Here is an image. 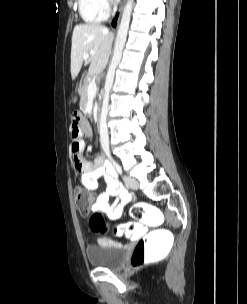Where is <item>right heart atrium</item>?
Here are the masks:
<instances>
[{
    "label": "right heart atrium",
    "instance_id": "right-heart-atrium-1",
    "mask_svg": "<svg viewBox=\"0 0 247 304\" xmlns=\"http://www.w3.org/2000/svg\"><path fill=\"white\" fill-rule=\"evenodd\" d=\"M102 1H103L104 5L107 7L109 4V0H102Z\"/></svg>",
    "mask_w": 247,
    "mask_h": 304
}]
</instances>
